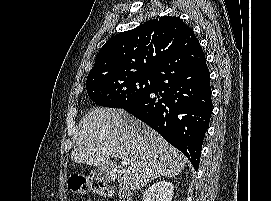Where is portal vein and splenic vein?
<instances>
[{"label": "portal vein and splenic vein", "instance_id": "1", "mask_svg": "<svg viewBox=\"0 0 271 201\" xmlns=\"http://www.w3.org/2000/svg\"><path fill=\"white\" fill-rule=\"evenodd\" d=\"M122 162L124 165H129L131 163V160L129 158H123Z\"/></svg>", "mask_w": 271, "mask_h": 201}]
</instances>
